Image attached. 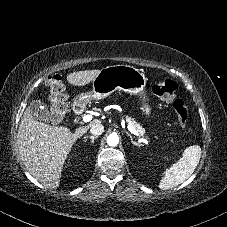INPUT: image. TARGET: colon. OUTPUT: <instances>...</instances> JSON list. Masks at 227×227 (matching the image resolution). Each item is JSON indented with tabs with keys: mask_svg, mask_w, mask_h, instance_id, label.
Returning <instances> with one entry per match:
<instances>
[{
	"mask_svg": "<svg viewBox=\"0 0 227 227\" xmlns=\"http://www.w3.org/2000/svg\"><path fill=\"white\" fill-rule=\"evenodd\" d=\"M46 86L49 91L50 101V120L54 124L62 122L65 118L69 105L66 100L65 86L60 75H54L47 80ZM151 90L160 100L173 102V110L181 124L185 125L188 121L187 105L180 100H175L177 85L174 81L167 79L162 81H152Z\"/></svg>",
	"mask_w": 227,
	"mask_h": 227,
	"instance_id": "obj_1",
	"label": "colon"
}]
</instances>
